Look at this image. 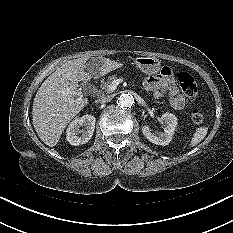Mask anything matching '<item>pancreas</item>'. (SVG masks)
I'll list each match as a JSON object with an SVG mask.
<instances>
[{
	"mask_svg": "<svg viewBox=\"0 0 233 233\" xmlns=\"http://www.w3.org/2000/svg\"><path fill=\"white\" fill-rule=\"evenodd\" d=\"M116 79L115 75H112L110 77H108V80L104 83L101 84V88L103 90V92L105 93H111L112 91L110 90V85L112 84V82Z\"/></svg>",
	"mask_w": 233,
	"mask_h": 233,
	"instance_id": "pancreas-1",
	"label": "pancreas"
}]
</instances>
